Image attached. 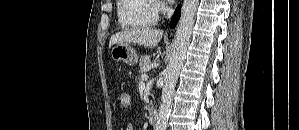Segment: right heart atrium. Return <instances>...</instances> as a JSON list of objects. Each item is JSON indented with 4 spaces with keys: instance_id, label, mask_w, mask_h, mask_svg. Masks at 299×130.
<instances>
[{
    "instance_id": "obj_1",
    "label": "right heart atrium",
    "mask_w": 299,
    "mask_h": 130,
    "mask_svg": "<svg viewBox=\"0 0 299 130\" xmlns=\"http://www.w3.org/2000/svg\"><path fill=\"white\" fill-rule=\"evenodd\" d=\"M159 10H160L161 12H164V11L166 10V7H165V6H161V7L159 8Z\"/></svg>"
}]
</instances>
